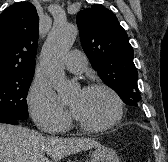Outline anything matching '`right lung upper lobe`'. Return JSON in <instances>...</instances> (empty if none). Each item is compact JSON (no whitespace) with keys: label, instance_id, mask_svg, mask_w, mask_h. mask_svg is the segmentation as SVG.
<instances>
[{"label":"right lung upper lobe","instance_id":"obj_1","mask_svg":"<svg viewBox=\"0 0 168 162\" xmlns=\"http://www.w3.org/2000/svg\"><path fill=\"white\" fill-rule=\"evenodd\" d=\"M39 17L29 2L0 14V78L35 70Z\"/></svg>","mask_w":168,"mask_h":162}]
</instances>
